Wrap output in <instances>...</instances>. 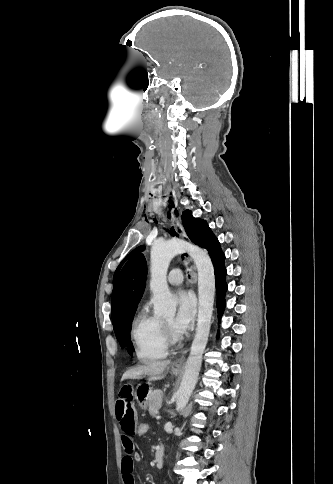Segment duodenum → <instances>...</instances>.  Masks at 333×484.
Returning a JSON list of instances; mask_svg holds the SVG:
<instances>
[{
  "instance_id": "duodenum-1",
  "label": "duodenum",
  "mask_w": 333,
  "mask_h": 484,
  "mask_svg": "<svg viewBox=\"0 0 333 484\" xmlns=\"http://www.w3.org/2000/svg\"><path fill=\"white\" fill-rule=\"evenodd\" d=\"M164 450L162 447H158L155 450L154 461L157 468H160L163 464Z\"/></svg>"
}]
</instances>
